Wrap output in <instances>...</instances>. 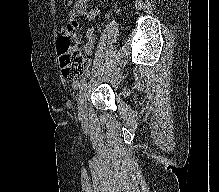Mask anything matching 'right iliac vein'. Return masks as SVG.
Listing matches in <instances>:
<instances>
[{
    "mask_svg": "<svg viewBox=\"0 0 219 192\" xmlns=\"http://www.w3.org/2000/svg\"><path fill=\"white\" fill-rule=\"evenodd\" d=\"M87 114V104L85 98V87L81 90L80 102L78 104V117L80 120H84Z\"/></svg>",
    "mask_w": 219,
    "mask_h": 192,
    "instance_id": "obj_1",
    "label": "right iliac vein"
}]
</instances>
